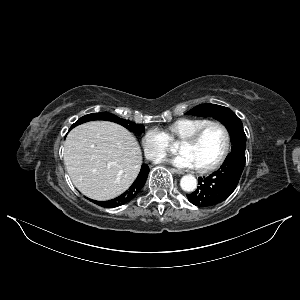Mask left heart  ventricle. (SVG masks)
Instances as JSON below:
<instances>
[{"mask_svg":"<svg viewBox=\"0 0 300 300\" xmlns=\"http://www.w3.org/2000/svg\"><path fill=\"white\" fill-rule=\"evenodd\" d=\"M225 134L219 126L206 130L196 144L181 143L179 152L190 155L197 168L205 167L215 162L223 152Z\"/></svg>","mask_w":300,"mask_h":300,"instance_id":"left-heart-ventricle-1","label":"left heart ventricle"}]
</instances>
